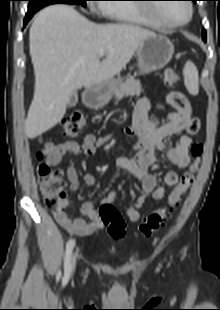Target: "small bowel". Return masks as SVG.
<instances>
[{
	"mask_svg": "<svg viewBox=\"0 0 220 310\" xmlns=\"http://www.w3.org/2000/svg\"><path fill=\"white\" fill-rule=\"evenodd\" d=\"M165 103L173 110L167 111L163 116L151 119L149 111L152 101L141 98L135 108L132 124L125 129L128 136L135 138V148L138 153L136 157L129 158L117 156L111 152V157L116 167L135 176L142 183V191L136 198L135 204L126 207L125 214L131 222H137L140 218V209L149 196L155 200H161L166 194V188L175 186L179 180V172L184 170L190 163V147L192 138L190 134L198 131L200 122L192 114L191 104L186 95L180 91H170L165 97ZM161 108H163L161 106ZM178 135L176 143L166 148L163 141L166 137ZM111 137H97L87 135L81 143L76 141H62L57 144L47 142L41 153L45 156L48 166L58 165L63 156L95 154L98 147L110 149ZM162 152L167 161L173 163L176 170L166 173L163 185H157V177L148 171L156 160V152ZM66 175L70 182V190L75 191L79 187V177L74 166L66 169ZM83 181L93 186L97 180L95 176L86 173L82 176ZM117 193L112 191L106 196V201L114 203ZM68 201L63 199L60 205L53 210L57 222L68 232L78 236H90L103 228V223L98 215L97 209L92 202H85L81 206L83 218L71 219L67 214Z\"/></svg>",
	"mask_w": 220,
	"mask_h": 310,
	"instance_id": "c3829d8e",
	"label": "small bowel"
}]
</instances>
